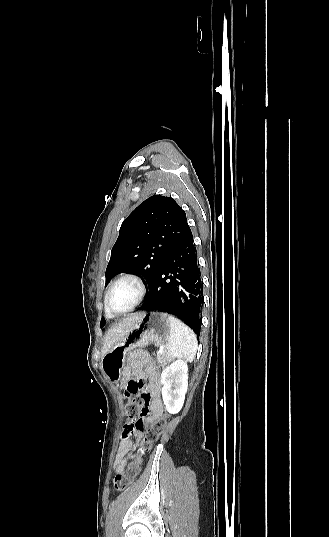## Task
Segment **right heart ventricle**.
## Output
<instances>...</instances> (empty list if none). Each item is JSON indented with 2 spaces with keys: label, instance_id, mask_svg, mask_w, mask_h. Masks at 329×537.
I'll use <instances>...</instances> for the list:
<instances>
[{
  "label": "right heart ventricle",
  "instance_id": "right-heart-ventricle-1",
  "mask_svg": "<svg viewBox=\"0 0 329 537\" xmlns=\"http://www.w3.org/2000/svg\"><path fill=\"white\" fill-rule=\"evenodd\" d=\"M105 312L107 315L111 316V314L107 311L106 307H105Z\"/></svg>",
  "mask_w": 329,
  "mask_h": 537
}]
</instances>
